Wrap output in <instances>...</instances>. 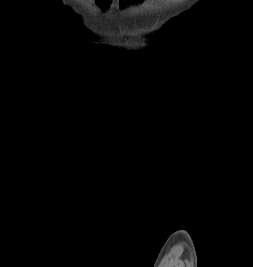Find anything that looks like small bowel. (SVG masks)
<instances>
[{
    "label": "small bowel",
    "instance_id": "obj_1",
    "mask_svg": "<svg viewBox=\"0 0 253 267\" xmlns=\"http://www.w3.org/2000/svg\"><path fill=\"white\" fill-rule=\"evenodd\" d=\"M112 0H97V4L100 7H108ZM142 0H119L120 5L128 6L141 2Z\"/></svg>",
    "mask_w": 253,
    "mask_h": 267
}]
</instances>
